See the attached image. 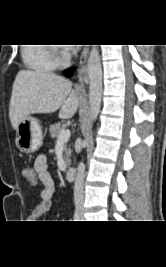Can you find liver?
I'll return each instance as SVG.
<instances>
[{
	"label": "liver",
	"mask_w": 166,
	"mask_h": 267,
	"mask_svg": "<svg viewBox=\"0 0 166 267\" xmlns=\"http://www.w3.org/2000/svg\"><path fill=\"white\" fill-rule=\"evenodd\" d=\"M78 106V95L68 79L54 73L21 70L13 84L9 117L16 130L30 114L53 113L60 109L59 118L68 119Z\"/></svg>",
	"instance_id": "6515ba94"
}]
</instances>
